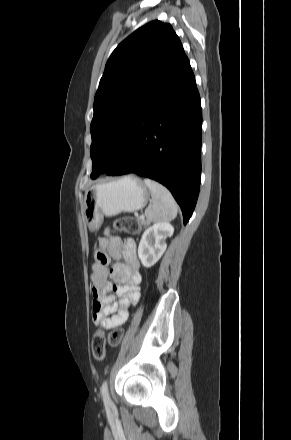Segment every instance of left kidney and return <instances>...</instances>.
Wrapping results in <instances>:
<instances>
[{
  "label": "left kidney",
  "instance_id": "5707ae66",
  "mask_svg": "<svg viewBox=\"0 0 291 440\" xmlns=\"http://www.w3.org/2000/svg\"><path fill=\"white\" fill-rule=\"evenodd\" d=\"M173 233L174 227L166 221L154 223L144 231L138 246V257L144 267H152L162 257L166 239Z\"/></svg>",
  "mask_w": 291,
  "mask_h": 440
}]
</instances>
